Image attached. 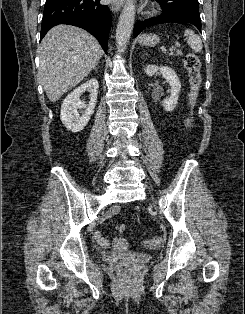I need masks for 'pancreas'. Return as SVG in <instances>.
<instances>
[{
  "mask_svg": "<svg viewBox=\"0 0 245 314\" xmlns=\"http://www.w3.org/2000/svg\"><path fill=\"white\" fill-rule=\"evenodd\" d=\"M182 52L181 51H177L176 56H181Z\"/></svg>",
  "mask_w": 245,
  "mask_h": 314,
  "instance_id": "pancreas-1",
  "label": "pancreas"
}]
</instances>
